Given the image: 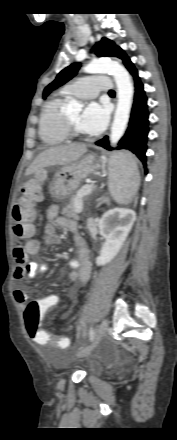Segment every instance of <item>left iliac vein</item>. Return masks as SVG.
I'll use <instances>...</instances> for the list:
<instances>
[{
	"label": "left iliac vein",
	"instance_id": "4c4485c4",
	"mask_svg": "<svg viewBox=\"0 0 177 440\" xmlns=\"http://www.w3.org/2000/svg\"><path fill=\"white\" fill-rule=\"evenodd\" d=\"M108 326H109V321L107 319H104L96 329V333L92 344L86 350L81 352L78 356H85L88 355L90 352H92L100 343L106 332L108 331Z\"/></svg>",
	"mask_w": 177,
	"mask_h": 440
}]
</instances>
